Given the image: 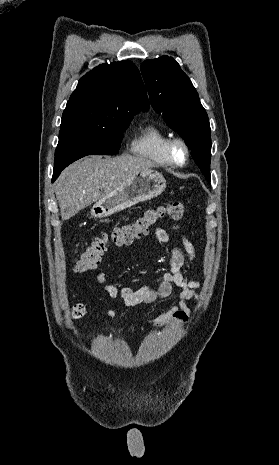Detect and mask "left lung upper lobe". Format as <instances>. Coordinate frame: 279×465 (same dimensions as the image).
I'll use <instances>...</instances> for the list:
<instances>
[{"label":"left lung upper lobe","instance_id":"left-lung-upper-lobe-1","mask_svg":"<svg viewBox=\"0 0 279 465\" xmlns=\"http://www.w3.org/2000/svg\"><path fill=\"white\" fill-rule=\"evenodd\" d=\"M141 72L152 107L182 136L201 172L210 181V124L192 82L169 56L144 61Z\"/></svg>","mask_w":279,"mask_h":465}]
</instances>
